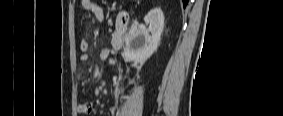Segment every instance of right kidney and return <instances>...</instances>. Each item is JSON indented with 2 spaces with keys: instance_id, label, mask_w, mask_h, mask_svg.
<instances>
[{
  "instance_id": "right-kidney-1",
  "label": "right kidney",
  "mask_w": 283,
  "mask_h": 116,
  "mask_svg": "<svg viewBox=\"0 0 283 116\" xmlns=\"http://www.w3.org/2000/svg\"><path fill=\"white\" fill-rule=\"evenodd\" d=\"M148 28L140 27L129 32L122 56L134 65L144 63L160 43L164 28V15L160 8L152 9L144 18Z\"/></svg>"
}]
</instances>
